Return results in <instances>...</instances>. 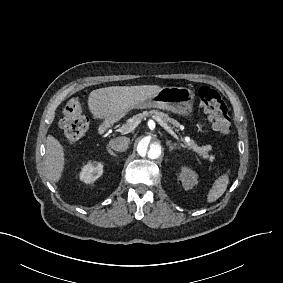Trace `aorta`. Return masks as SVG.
<instances>
[{
    "mask_svg": "<svg viewBox=\"0 0 283 283\" xmlns=\"http://www.w3.org/2000/svg\"><path fill=\"white\" fill-rule=\"evenodd\" d=\"M135 149L142 162L154 164L159 162L163 157L164 141L159 135L145 134L137 139Z\"/></svg>",
    "mask_w": 283,
    "mask_h": 283,
    "instance_id": "obj_1",
    "label": "aorta"
}]
</instances>
